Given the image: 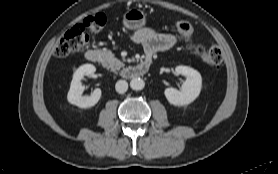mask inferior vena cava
<instances>
[{"instance_id": "obj_1", "label": "inferior vena cava", "mask_w": 278, "mask_h": 174, "mask_svg": "<svg viewBox=\"0 0 278 174\" xmlns=\"http://www.w3.org/2000/svg\"><path fill=\"white\" fill-rule=\"evenodd\" d=\"M115 89L118 93L123 94L128 89V83L125 80H119L116 82Z\"/></svg>"}]
</instances>
